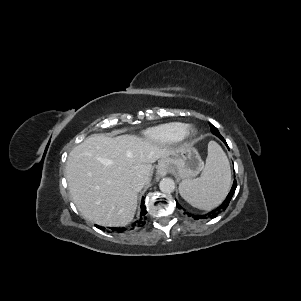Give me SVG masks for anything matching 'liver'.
Masks as SVG:
<instances>
[{
  "label": "liver",
  "instance_id": "1",
  "mask_svg": "<svg viewBox=\"0 0 301 301\" xmlns=\"http://www.w3.org/2000/svg\"><path fill=\"white\" fill-rule=\"evenodd\" d=\"M135 135L115 138L92 135L74 147L65 176L74 204L82 216L102 226H125L135 215L137 176L151 181L152 164L171 154Z\"/></svg>",
  "mask_w": 301,
  "mask_h": 301
}]
</instances>
